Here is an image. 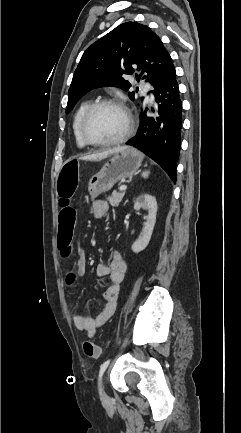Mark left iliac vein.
<instances>
[{
  "label": "left iliac vein",
  "mask_w": 241,
  "mask_h": 433,
  "mask_svg": "<svg viewBox=\"0 0 241 433\" xmlns=\"http://www.w3.org/2000/svg\"><path fill=\"white\" fill-rule=\"evenodd\" d=\"M101 396H102V398L104 400L108 399V396H107V394L105 392V389H104V382H103V380L101 381Z\"/></svg>",
  "instance_id": "1"
}]
</instances>
